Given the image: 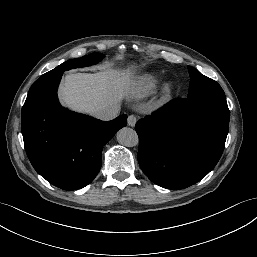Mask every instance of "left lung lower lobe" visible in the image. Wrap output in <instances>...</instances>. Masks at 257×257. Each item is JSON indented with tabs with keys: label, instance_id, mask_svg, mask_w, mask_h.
Here are the masks:
<instances>
[{
	"label": "left lung lower lobe",
	"instance_id": "obj_1",
	"mask_svg": "<svg viewBox=\"0 0 257 257\" xmlns=\"http://www.w3.org/2000/svg\"><path fill=\"white\" fill-rule=\"evenodd\" d=\"M226 97L175 99L140 119L138 162L155 184L183 189L219 161L229 126Z\"/></svg>",
	"mask_w": 257,
	"mask_h": 257
}]
</instances>
